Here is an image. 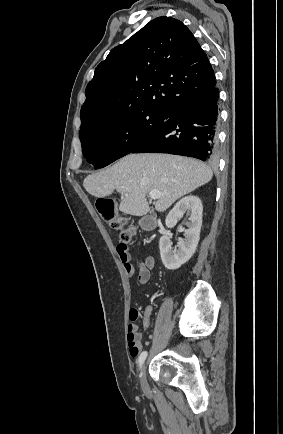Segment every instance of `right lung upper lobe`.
Segmentation results:
<instances>
[{"label": "right lung upper lobe", "instance_id": "cb5924a9", "mask_svg": "<svg viewBox=\"0 0 283 434\" xmlns=\"http://www.w3.org/2000/svg\"><path fill=\"white\" fill-rule=\"evenodd\" d=\"M214 86L213 69L192 32L177 19L158 17L96 67L81 130L132 110L169 112Z\"/></svg>", "mask_w": 283, "mask_h": 434}]
</instances>
